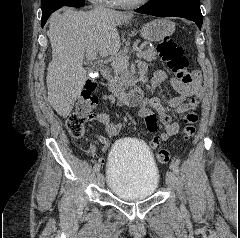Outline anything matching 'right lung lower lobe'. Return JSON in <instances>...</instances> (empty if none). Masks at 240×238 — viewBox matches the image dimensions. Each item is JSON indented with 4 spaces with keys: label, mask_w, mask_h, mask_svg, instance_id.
Instances as JSON below:
<instances>
[{
    "label": "right lung lower lobe",
    "mask_w": 240,
    "mask_h": 238,
    "mask_svg": "<svg viewBox=\"0 0 240 238\" xmlns=\"http://www.w3.org/2000/svg\"><path fill=\"white\" fill-rule=\"evenodd\" d=\"M84 5V0H73L72 2H70L71 7H82ZM47 20L45 21H41L42 26L45 25Z\"/></svg>",
    "instance_id": "obj_1"
}]
</instances>
